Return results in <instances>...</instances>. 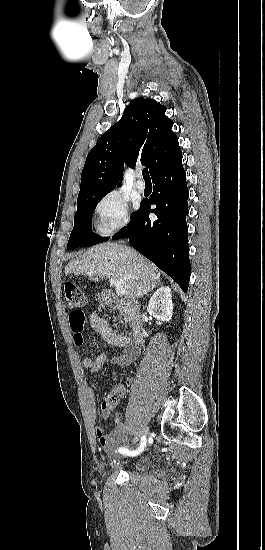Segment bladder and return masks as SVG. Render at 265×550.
<instances>
[{
	"label": "bladder",
	"instance_id": "obj_1",
	"mask_svg": "<svg viewBox=\"0 0 265 550\" xmlns=\"http://www.w3.org/2000/svg\"><path fill=\"white\" fill-rule=\"evenodd\" d=\"M150 464H151L150 459L146 456H143L133 463V467L138 471H143V470H147Z\"/></svg>",
	"mask_w": 265,
	"mask_h": 550
}]
</instances>
